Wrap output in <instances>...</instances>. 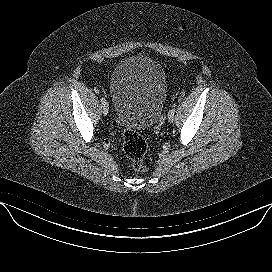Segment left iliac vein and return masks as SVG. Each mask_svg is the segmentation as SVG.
Here are the masks:
<instances>
[{"label": "left iliac vein", "mask_w": 272, "mask_h": 272, "mask_svg": "<svg viewBox=\"0 0 272 272\" xmlns=\"http://www.w3.org/2000/svg\"><path fill=\"white\" fill-rule=\"evenodd\" d=\"M167 119H168L169 122H173V120H174V115L171 114V113H168Z\"/></svg>", "instance_id": "1"}]
</instances>
